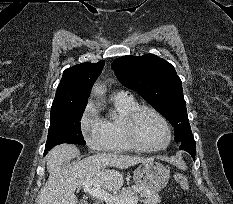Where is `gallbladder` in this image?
<instances>
[{"instance_id":"1","label":"gallbladder","mask_w":233,"mask_h":204,"mask_svg":"<svg viewBox=\"0 0 233 204\" xmlns=\"http://www.w3.org/2000/svg\"><path fill=\"white\" fill-rule=\"evenodd\" d=\"M79 204H86L84 201H81V203H79Z\"/></svg>"}]
</instances>
